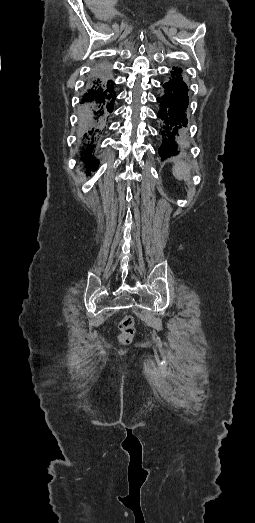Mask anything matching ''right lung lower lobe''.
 <instances>
[{"label": "right lung lower lobe", "mask_w": 255, "mask_h": 523, "mask_svg": "<svg viewBox=\"0 0 255 523\" xmlns=\"http://www.w3.org/2000/svg\"><path fill=\"white\" fill-rule=\"evenodd\" d=\"M90 105H91L92 107H97V106L99 105V100H98L97 98H92V99L90 100ZM81 108H82L83 110H86V109L88 108V105H87L86 103H83V104L81 105ZM85 148H86L87 150H90V149L92 148V144H91L90 142H87V143L85 144ZM85 167H86V166H85ZM97 167H98V166H94V167H93V166H92V167H88V166H87V169H90V170H93V171H94V170L97 169Z\"/></svg>", "instance_id": "obj_1"}]
</instances>
